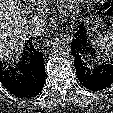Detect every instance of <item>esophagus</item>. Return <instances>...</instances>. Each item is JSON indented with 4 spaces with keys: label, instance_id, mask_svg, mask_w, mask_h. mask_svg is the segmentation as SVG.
<instances>
[{
    "label": "esophagus",
    "instance_id": "obj_1",
    "mask_svg": "<svg viewBox=\"0 0 113 113\" xmlns=\"http://www.w3.org/2000/svg\"><path fill=\"white\" fill-rule=\"evenodd\" d=\"M60 38L64 41H66L67 43L72 41V36L69 33H60Z\"/></svg>",
    "mask_w": 113,
    "mask_h": 113
}]
</instances>
